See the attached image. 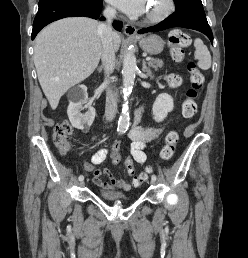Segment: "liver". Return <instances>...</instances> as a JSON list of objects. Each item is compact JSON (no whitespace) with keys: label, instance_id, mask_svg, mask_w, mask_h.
<instances>
[{"label":"liver","instance_id":"1","mask_svg":"<svg viewBox=\"0 0 248 258\" xmlns=\"http://www.w3.org/2000/svg\"><path fill=\"white\" fill-rule=\"evenodd\" d=\"M100 23L86 17H70L45 27L34 45V64L41 88L53 110L71 87L89 77L100 61ZM120 36L113 35L115 51Z\"/></svg>","mask_w":248,"mask_h":258}]
</instances>
